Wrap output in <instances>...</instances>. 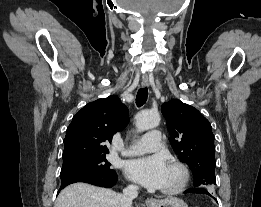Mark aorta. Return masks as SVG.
<instances>
[{"instance_id":"762f6f07","label":"aorta","mask_w":261,"mask_h":207,"mask_svg":"<svg viewBox=\"0 0 261 207\" xmlns=\"http://www.w3.org/2000/svg\"><path fill=\"white\" fill-rule=\"evenodd\" d=\"M160 123V115L157 112L142 111L135 117V125L138 132L156 128Z\"/></svg>"}]
</instances>
